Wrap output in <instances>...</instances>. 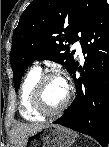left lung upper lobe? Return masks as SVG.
I'll return each instance as SVG.
<instances>
[{"instance_id":"obj_1","label":"left lung upper lobe","mask_w":109,"mask_h":147,"mask_svg":"<svg viewBox=\"0 0 109 147\" xmlns=\"http://www.w3.org/2000/svg\"><path fill=\"white\" fill-rule=\"evenodd\" d=\"M105 3V0H33L22 13L12 38L10 61L16 90L27 66L36 59H50L72 73L77 61L66 43L73 44L82 37ZM87 84L95 93L103 84L102 75L92 71Z\"/></svg>"}]
</instances>
